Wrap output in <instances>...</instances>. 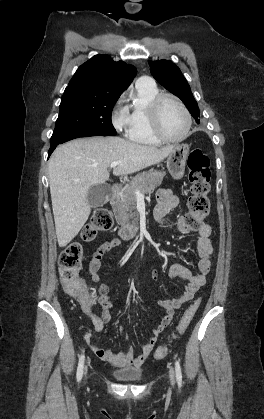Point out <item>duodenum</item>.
I'll list each match as a JSON object with an SVG mask.
<instances>
[{"instance_id": "duodenum-1", "label": "duodenum", "mask_w": 264, "mask_h": 419, "mask_svg": "<svg viewBox=\"0 0 264 419\" xmlns=\"http://www.w3.org/2000/svg\"><path fill=\"white\" fill-rule=\"evenodd\" d=\"M119 196H120V188L119 186L114 185L110 193V201L112 202L117 201ZM137 233H138V227L132 224L124 225L119 230V236L122 239L133 238L134 236H136Z\"/></svg>"}]
</instances>
